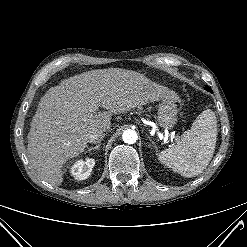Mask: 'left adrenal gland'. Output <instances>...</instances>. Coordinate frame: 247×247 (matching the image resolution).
Segmentation results:
<instances>
[{
	"instance_id": "a2214340",
	"label": "left adrenal gland",
	"mask_w": 247,
	"mask_h": 247,
	"mask_svg": "<svg viewBox=\"0 0 247 247\" xmlns=\"http://www.w3.org/2000/svg\"><path fill=\"white\" fill-rule=\"evenodd\" d=\"M148 138H149L150 142L153 144L155 150L158 151L157 146H156L155 143L152 141V139H151L150 137H148Z\"/></svg>"
}]
</instances>
